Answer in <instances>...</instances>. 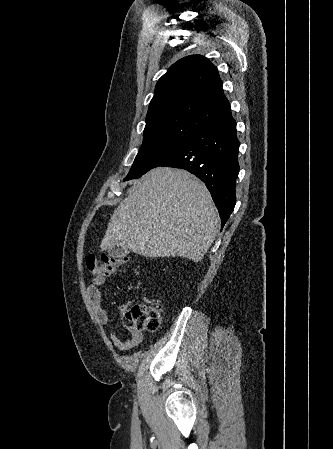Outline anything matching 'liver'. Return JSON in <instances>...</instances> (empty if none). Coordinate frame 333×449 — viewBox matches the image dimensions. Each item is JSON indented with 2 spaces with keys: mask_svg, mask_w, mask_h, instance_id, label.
<instances>
[{
  "mask_svg": "<svg viewBox=\"0 0 333 449\" xmlns=\"http://www.w3.org/2000/svg\"><path fill=\"white\" fill-rule=\"evenodd\" d=\"M220 218L207 187L189 172L157 167L134 180L111 216L100 248L116 243L147 257L180 256L194 262L207 253Z\"/></svg>",
  "mask_w": 333,
  "mask_h": 449,
  "instance_id": "obj_1",
  "label": "liver"
}]
</instances>
